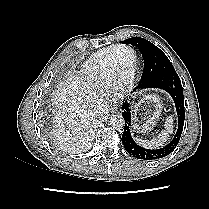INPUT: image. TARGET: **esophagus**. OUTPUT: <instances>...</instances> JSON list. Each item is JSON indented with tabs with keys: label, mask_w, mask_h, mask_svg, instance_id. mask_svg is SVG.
<instances>
[{
	"label": "esophagus",
	"mask_w": 209,
	"mask_h": 209,
	"mask_svg": "<svg viewBox=\"0 0 209 209\" xmlns=\"http://www.w3.org/2000/svg\"><path fill=\"white\" fill-rule=\"evenodd\" d=\"M111 109H112L113 112H117L118 109H119V107H118L117 104H113V105L111 106Z\"/></svg>",
	"instance_id": "34e87169"
}]
</instances>
